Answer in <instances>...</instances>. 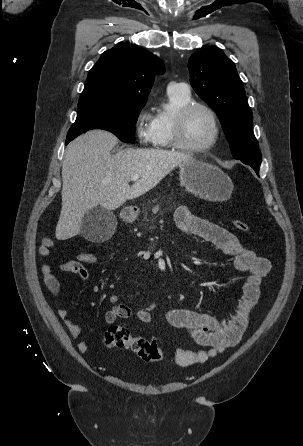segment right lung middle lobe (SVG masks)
<instances>
[{
  "mask_svg": "<svg viewBox=\"0 0 303 446\" xmlns=\"http://www.w3.org/2000/svg\"><path fill=\"white\" fill-rule=\"evenodd\" d=\"M143 107L104 103L78 105L77 118L68 131L66 144L92 129L110 131L123 142L132 143L137 117Z\"/></svg>",
  "mask_w": 303,
  "mask_h": 446,
  "instance_id": "dd1d6c3e",
  "label": "right lung middle lobe"
}]
</instances>
